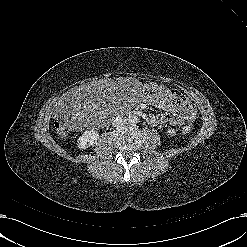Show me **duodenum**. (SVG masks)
I'll return each mask as SVG.
<instances>
[{
  "mask_svg": "<svg viewBox=\"0 0 247 247\" xmlns=\"http://www.w3.org/2000/svg\"><path fill=\"white\" fill-rule=\"evenodd\" d=\"M136 115L141 116V117H146L142 112L137 111L135 112ZM148 119V118H147Z\"/></svg>",
  "mask_w": 247,
  "mask_h": 247,
  "instance_id": "obj_1",
  "label": "duodenum"
}]
</instances>
